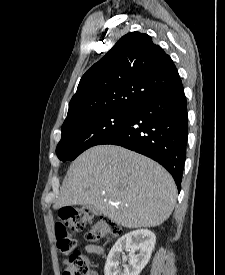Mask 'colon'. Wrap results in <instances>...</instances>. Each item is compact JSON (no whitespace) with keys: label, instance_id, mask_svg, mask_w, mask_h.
<instances>
[{"label":"colon","instance_id":"colon-1","mask_svg":"<svg viewBox=\"0 0 225 275\" xmlns=\"http://www.w3.org/2000/svg\"><path fill=\"white\" fill-rule=\"evenodd\" d=\"M87 225H90V229L86 238L91 242H98L120 233L119 226L110 219L73 208H63L54 228L58 249L62 253L74 250L76 242L69 230L78 232ZM62 275H90L88 259L74 250L62 263Z\"/></svg>","mask_w":225,"mask_h":275}]
</instances>
